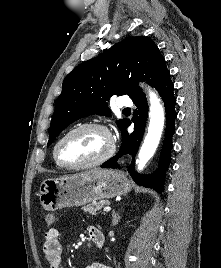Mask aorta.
<instances>
[{
    "instance_id": "762f6f07",
    "label": "aorta",
    "mask_w": 221,
    "mask_h": 268,
    "mask_svg": "<svg viewBox=\"0 0 221 268\" xmlns=\"http://www.w3.org/2000/svg\"><path fill=\"white\" fill-rule=\"evenodd\" d=\"M150 98V122L148 133L144 139V143L139 151L136 161L137 170L142 171L149 159L154 155L164 127V110L160 104V99L157 94L149 90Z\"/></svg>"
}]
</instances>
